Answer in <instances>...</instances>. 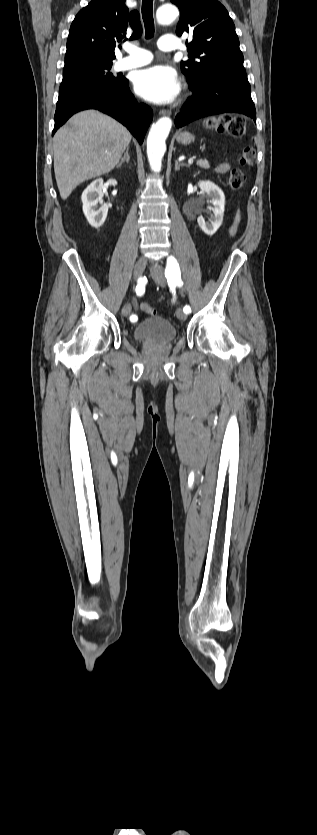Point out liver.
I'll return each instance as SVG.
<instances>
[{
    "label": "liver",
    "mask_w": 317,
    "mask_h": 835,
    "mask_svg": "<svg viewBox=\"0 0 317 835\" xmlns=\"http://www.w3.org/2000/svg\"><path fill=\"white\" fill-rule=\"evenodd\" d=\"M131 138L126 127L96 110L70 118L53 138L54 172L61 198L67 199L83 181L110 172Z\"/></svg>",
    "instance_id": "6515ba94"
}]
</instances>
